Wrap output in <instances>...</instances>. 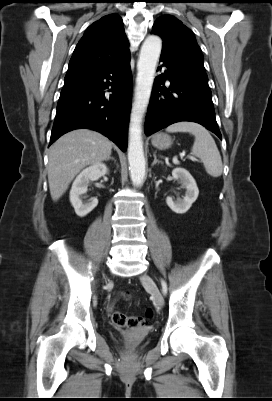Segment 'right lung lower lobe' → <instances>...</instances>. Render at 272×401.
<instances>
[{
	"instance_id": "98d812e1",
	"label": "right lung lower lobe",
	"mask_w": 272,
	"mask_h": 401,
	"mask_svg": "<svg viewBox=\"0 0 272 401\" xmlns=\"http://www.w3.org/2000/svg\"><path fill=\"white\" fill-rule=\"evenodd\" d=\"M131 88L130 53L94 75L65 84L50 144L71 130L88 128L107 136L125 152ZM106 89L112 94H105Z\"/></svg>"
}]
</instances>
